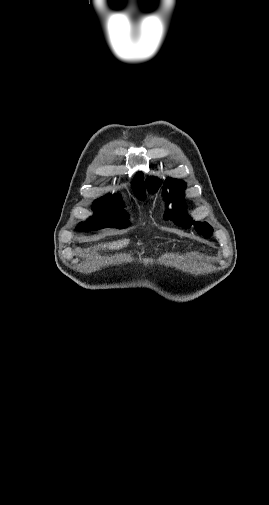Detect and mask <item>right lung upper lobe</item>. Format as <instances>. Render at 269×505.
Listing matches in <instances>:
<instances>
[{
    "instance_id": "1",
    "label": "right lung upper lobe",
    "mask_w": 269,
    "mask_h": 505,
    "mask_svg": "<svg viewBox=\"0 0 269 505\" xmlns=\"http://www.w3.org/2000/svg\"><path fill=\"white\" fill-rule=\"evenodd\" d=\"M133 191L135 192L136 194V197L141 199V200H144L146 198V194H145V187H144V181H143V174L142 173H138L134 179V183H133ZM113 201V202H121L119 197L117 195H107L101 199H98L96 201H104V202H109V201Z\"/></svg>"
}]
</instances>
